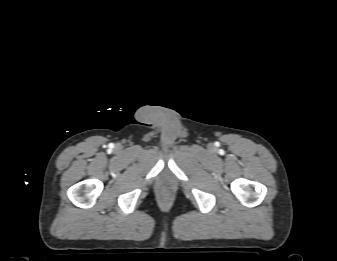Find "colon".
Returning a JSON list of instances; mask_svg holds the SVG:
<instances>
[{"label": "colon", "mask_w": 337, "mask_h": 261, "mask_svg": "<svg viewBox=\"0 0 337 261\" xmlns=\"http://www.w3.org/2000/svg\"><path fill=\"white\" fill-rule=\"evenodd\" d=\"M168 196H169L168 194H164V196H163V197H164L165 199H167V198H168Z\"/></svg>", "instance_id": "5ec220e1"}]
</instances>
